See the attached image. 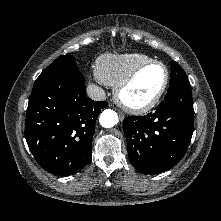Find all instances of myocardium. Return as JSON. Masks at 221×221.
<instances>
[{"instance_id":"f54148a6","label":"myocardium","mask_w":221,"mask_h":221,"mask_svg":"<svg viewBox=\"0 0 221 221\" xmlns=\"http://www.w3.org/2000/svg\"><path fill=\"white\" fill-rule=\"evenodd\" d=\"M154 65L161 66L165 73L164 81L160 89L157 91V93L148 101L140 104L132 103L126 100L123 95L124 91L128 89L135 82V80L140 75V73H142L145 69ZM168 84H169V70L166 67V65L160 61L151 60L136 67L123 81H121L115 88L114 97L118 105L122 107L124 110L133 114H143L150 111L159 103V101L161 100L162 96L164 95L168 87Z\"/></svg>"}]
</instances>
